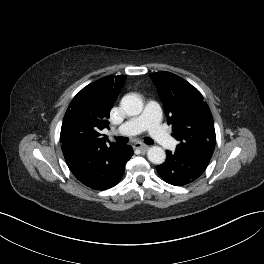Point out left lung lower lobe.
<instances>
[{
  "instance_id": "left-lung-lower-lobe-1",
  "label": "left lung lower lobe",
  "mask_w": 264,
  "mask_h": 264,
  "mask_svg": "<svg viewBox=\"0 0 264 264\" xmlns=\"http://www.w3.org/2000/svg\"><path fill=\"white\" fill-rule=\"evenodd\" d=\"M166 161L156 167L163 180L174 186L195 181L206 169L210 159L189 157L167 150Z\"/></svg>"
}]
</instances>
